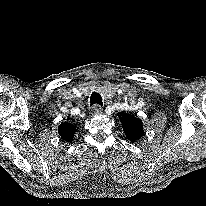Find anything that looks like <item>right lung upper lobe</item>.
<instances>
[{
    "instance_id": "right-lung-upper-lobe-1",
    "label": "right lung upper lobe",
    "mask_w": 206,
    "mask_h": 206,
    "mask_svg": "<svg viewBox=\"0 0 206 206\" xmlns=\"http://www.w3.org/2000/svg\"><path fill=\"white\" fill-rule=\"evenodd\" d=\"M59 135L66 142H71L73 140V136L76 132V128L74 125L69 124L67 122H63L60 124L58 128Z\"/></svg>"
}]
</instances>
